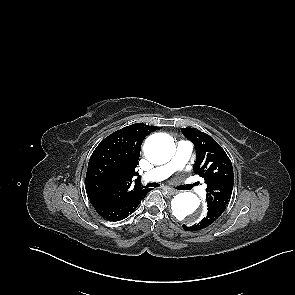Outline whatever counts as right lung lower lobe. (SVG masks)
<instances>
[{
  "mask_svg": "<svg viewBox=\"0 0 295 295\" xmlns=\"http://www.w3.org/2000/svg\"><path fill=\"white\" fill-rule=\"evenodd\" d=\"M147 193L148 190L141 191L129 199L117 202H110L101 199H91L90 202L98 214H100L103 218L110 221H120L126 218L137 208Z\"/></svg>",
  "mask_w": 295,
  "mask_h": 295,
  "instance_id": "1",
  "label": "right lung lower lobe"
}]
</instances>
